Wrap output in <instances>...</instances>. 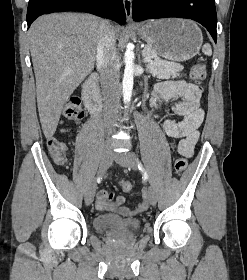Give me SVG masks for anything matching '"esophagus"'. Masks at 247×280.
<instances>
[{
	"mask_svg": "<svg viewBox=\"0 0 247 280\" xmlns=\"http://www.w3.org/2000/svg\"><path fill=\"white\" fill-rule=\"evenodd\" d=\"M124 10L127 20H131L132 17V0H123Z\"/></svg>",
	"mask_w": 247,
	"mask_h": 280,
	"instance_id": "1",
	"label": "esophagus"
}]
</instances>
